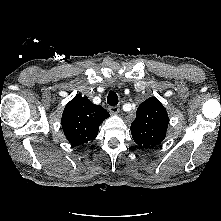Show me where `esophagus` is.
Instances as JSON below:
<instances>
[{"mask_svg": "<svg viewBox=\"0 0 221 221\" xmlns=\"http://www.w3.org/2000/svg\"><path fill=\"white\" fill-rule=\"evenodd\" d=\"M110 113L118 114L120 112V108L118 106H112L109 108Z\"/></svg>", "mask_w": 221, "mask_h": 221, "instance_id": "34e87169", "label": "esophagus"}]
</instances>
